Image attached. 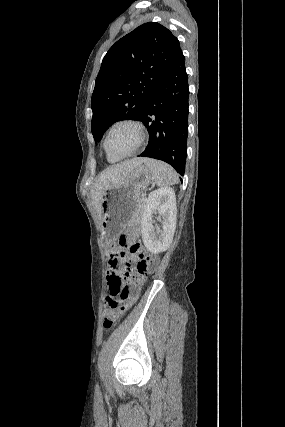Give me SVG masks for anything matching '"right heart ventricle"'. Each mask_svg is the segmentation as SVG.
Instances as JSON below:
<instances>
[{
  "instance_id": "1",
  "label": "right heart ventricle",
  "mask_w": 285,
  "mask_h": 427,
  "mask_svg": "<svg viewBox=\"0 0 285 427\" xmlns=\"http://www.w3.org/2000/svg\"><path fill=\"white\" fill-rule=\"evenodd\" d=\"M107 160L109 162L113 163V162H116L118 160V158H116V157H114V156H112V155H110V154L107 153Z\"/></svg>"
}]
</instances>
